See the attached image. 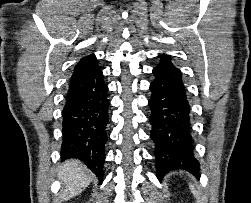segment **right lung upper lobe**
<instances>
[{"label":"right lung upper lobe","instance_id":"cb5924a9","mask_svg":"<svg viewBox=\"0 0 251 203\" xmlns=\"http://www.w3.org/2000/svg\"><path fill=\"white\" fill-rule=\"evenodd\" d=\"M97 66V60L94 55H89L81 59L78 64L74 67L73 74L71 76V81L79 77L83 73Z\"/></svg>","mask_w":251,"mask_h":203}]
</instances>
